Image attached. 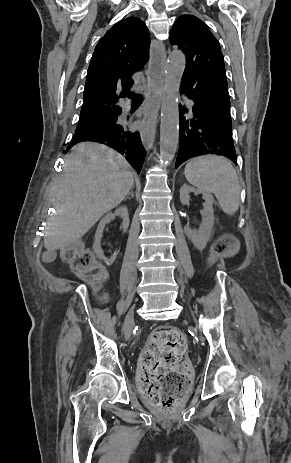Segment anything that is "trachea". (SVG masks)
Here are the masks:
<instances>
[{
  "instance_id": "1",
  "label": "trachea",
  "mask_w": 291,
  "mask_h": 463,
  "mask_svg": "<svg viewBox=\"0 0 291 463\" xmlns=\"http://www.w3.org/2000/svg\"><path fill=\"white\" fill-rule=\"evenodd\" d=\"M124 96H126L128 98H132L133 102H141L142 99H143L141 95H135V94H131L129 92L125 93Z\"/></svg>"
}]
</instances>
